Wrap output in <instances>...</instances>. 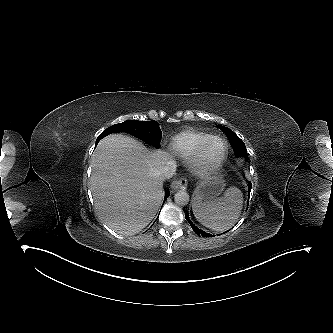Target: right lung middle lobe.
<instances>
[{
  "mask_svg": "<svg viewBox=\"0 0 333 333\" xmlns=\"http://www.w3.org/2000/svg\"><path fill=\"white\" fill-rule=\"evenodd\" d=\"M105 131L108 133L126 132L156 148L160 147L162 137V132L157 121L127 120L123 123L115 124Z\"/></svg>",
  "mask_w": 333,
  "mask_h": 333,
  "instance_id": "1",
  "label": "right lung middle lobe"
}]
</instances>
